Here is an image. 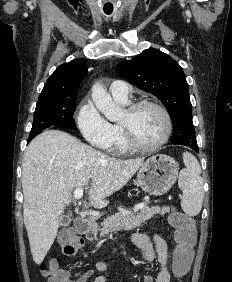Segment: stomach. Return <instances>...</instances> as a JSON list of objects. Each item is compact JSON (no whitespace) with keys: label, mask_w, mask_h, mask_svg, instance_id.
Masks as SVG:
<instances>
[{"label":"stomach","mask_w":232,"mask_h":282,"mask_svg":"<svg viewBox=\"0 0 232 282\" xmlns=\"http://www.w3.org/2000/svg\"><path fill=\"white\" fill-rule=\"evenodd\" d=\"M178 163L170 156L159 154L148 158L137 173V183L149 195L161 196L167 193L178 177ZM93 232L97 226L91 224Z\"/></svg>","instance_id":"0dacf381"}]
</instances>
